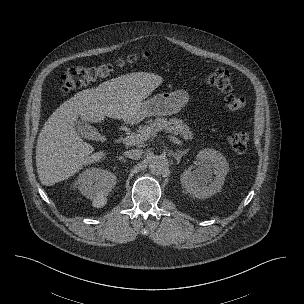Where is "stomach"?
<instances>
[{"label": "stomach", "instance_id": "0dacf381", "mask_svg": "<svg viewBox=\"0 0 304 304\" xmlns=\"http://www.w3.org/2000/svg\"><path fill=\"white\" fill-rule=\"evenodd\" d=\"M189 101L184 90L163 92L141 102L137 121L148 116H167L178 113Z\"/></svg>", "mask_w": 304, "mask_h": 304}]
</instances>
